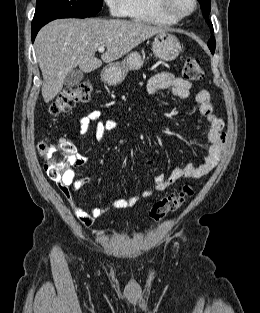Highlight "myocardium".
<instances>
[{"instance_id": "obj_1", "label": "myocardium", "mask_w": 260, "mask_h": 313, "mask_svg": "<svg viewBox=\"0 0 260 313\" xmlns=\"http://www.w3.org/2000/svg\"><path fill=\"white\" fill-rule=\"evenodd\" d=\"M191 8L181 14L174 13L169 7L168 0H156V8L157 10L166 18L170 19L171 21L177 23L191 15L197 8V0H191Z\"/></svg>"}]
</instances>
